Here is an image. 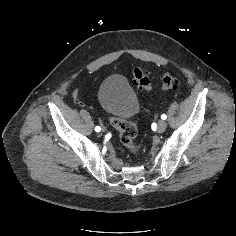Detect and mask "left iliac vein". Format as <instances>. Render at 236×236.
I'll list each match as a JSON object with an SVG mask.
<instances>
[{
  "label": "left iliac vein",
  "mask_w": 236,
  "mask_h": 236,
  "mask_svg": "<svg viewBox=\"0 0 236 236\" xmlns=\"http://www.w3.org/2000/svg\"><path fill=\"white\" fill-rule=\"evenodd\" d=\"M167 128V123L164 120H160L157 125V131L163 133Z\"/></svg>",
  "instance_id": "1"
}]
</instances>
